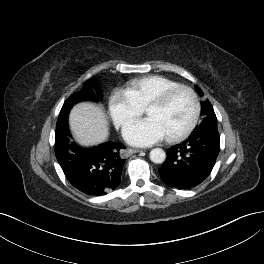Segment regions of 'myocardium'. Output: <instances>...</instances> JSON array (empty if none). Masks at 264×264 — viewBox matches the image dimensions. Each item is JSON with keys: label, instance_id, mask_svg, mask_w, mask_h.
<instances>
[{"label": "myocardium", "instance_id": "f54148a6", "mask_svg": "<svg viewBox=\"0 0 264 264\" xmlns=\"http://www.w3.org/2000/svg\"><path fill=\"white\" fill-rule=\"evenodd\" d=\"M180 92H187L192 101H193V115L191 118V121L187 125L185 129H183L181 132L171 135V136H166L165 139L168 142L174 143V142H179L188 137L192 131L195 129L199 118L201 114V104L198 98L197 93L194 91L189 86L186 85H178L175 87H172L166 91H164L162 94H160L158 97L153 99L146 107H145V113L147 112L148 109L150 108H157V107H163L169 103V101L178 93Z\"/></svg>", "mask_w": 264, "mask_h": 264}]
</instances>
